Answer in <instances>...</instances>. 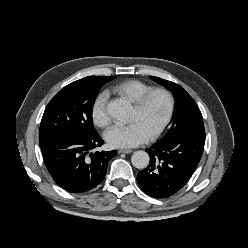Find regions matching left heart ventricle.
Here are the masks:
<instances>
[{
  "label": "left heart ventricle",
  "instance_id": "1",
  "mask_svg": "<svg viewBox=\"0 0 248 248\" xmlns=\"http://www.w3.org/2000/svg\"><path fill=\"white\" fill-rule=\"evenodd\" d=\"M167 113V100L161 94L150 98L143 110L133 108L130 121L140 122L149 135L160 125Z\"/></svg>",
  "mask_w": 248,
  "mask_h": 248
}]
</instances>
